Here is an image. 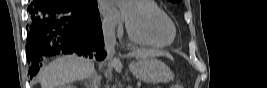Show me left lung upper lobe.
<instances>
[{
    "label": "left lung upper lobe",
    "mask_w": 267,
    "mask_h": 88,
    "mask_svg": "<svg viewBox=\"0 0 267 88\" xmlns=\"http://www.w3.org/2000/svg\"><path fill=\"white\" fill-rule=\"evenodd\" d=\"M170 1L173 3H179L180 2V0H170Z\"/></svg>",
    "instance_id": "obj_1"
}]
</instances>
